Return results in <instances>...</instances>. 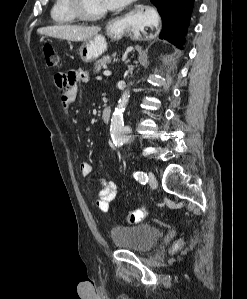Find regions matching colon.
Returning a JSON list of instances; mask_svg holds the SVG:
<instances>
[{
    "instance_id": "1",
    "label": "colon",
    "mask_w": 247,
    "mask_h": 299,
    "mask_svg": "<svg viewBox=\"0 0 247 299\" xmlns=\"http://www.w3.org/2000/svg\"><path fill=\"white\" fill-rule=\"evenodd\" d=\"M43 53L47 66L56 67L59 62V57L54 47L47 43L43 47ZM147 213L144 209H137L125 215V220L130 224H136L146 217Z\"/></svg>"
}]
</instances>
